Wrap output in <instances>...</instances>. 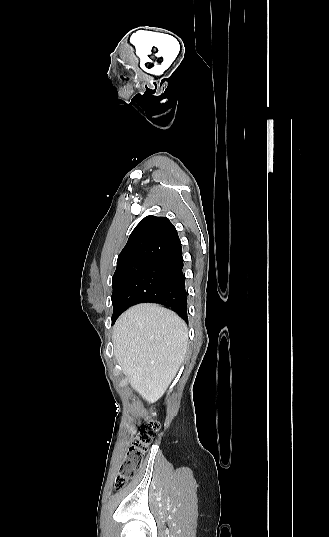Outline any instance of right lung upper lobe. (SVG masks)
<instances>
[{
	"mask_svg": "<svg viewBox=\"0 0 329 537\" xmlns=\"http://www.w3.org/2000/svg\"><path fill=\"white\" fill-rule=\"evenodd\" d=\"M178 244V233L167 218L147 216L130 234L118 256L117 269L135 261L151 262Z\"/></svg>",
	"mask_w": 329,
	"mask_h": 537,
	"instance_id": "1",
	"label": "right lung upper lobe"
}]
</instances>
